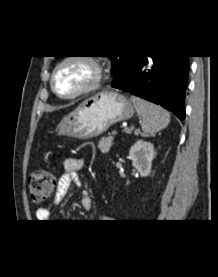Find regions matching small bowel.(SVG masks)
I'll use <instances>...</instances> for the list:
<instances>
[{"label": "small bowel", "mask_w": 218, "mask_h": 277, "mask_svg": "<svg viewBox=\"0 0 218 277\" xmlns=\"http://www.w3.org/2000/svg\"><path fill=\"white\" fill-rule=\"evenodd\" d=\"M84 167V160L78 157H68L63 162V172L60 175L53 202L59 204L67 195L70 185L75 182L81 186V181L77 173ZM81 204L85 210H89L92 206V198L87 190L82 191ZM38 222H47L51 218V211L46 207H40L36 211Z\"/></svg>", "instance_id": "1"}]
</instances>
